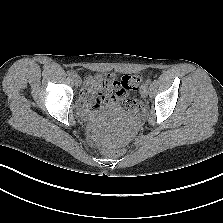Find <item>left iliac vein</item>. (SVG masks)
Returning a JSON list of instances; mask_svg holds the SVG:
<instances>
[{
    "label": "left iliac vein",
    "instance_id": "left-iliac-vein-1",
    "mask_svg": "<svg viewBox=\"0 0 223 223\" xmlns=\"http://www.w3.org/2000/svg\"><path fill=\"white\" fill-rule=\"evenodd\" d=\"M148 85L144 84L142 87H141V90H140V94L143 98H145L147 95H148Z\"/></svg>",
    "mask_w": 223,
    "mask_h": 223
}]
</instances>
